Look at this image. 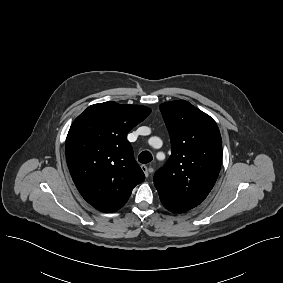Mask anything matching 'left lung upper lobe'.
<instances>
[{
  "mask_svg": "<svg viewBox=\"0 0 283 283\" xmlns=\"http://www.w3.org/2000/svg\"><path fill=\"white\" fill-rule=\"evenodd\" d=\"M171 139V156L154 176L163 205L183 213L199 205L213 188L222 161L215 121L185 100L160 105Z\"/></svg>",
  "mask_w": 283,
  "mask_h": 283,
  "instance_id": "obj_1",
  "label": "left lung upper lobe"
}]
</instances>
